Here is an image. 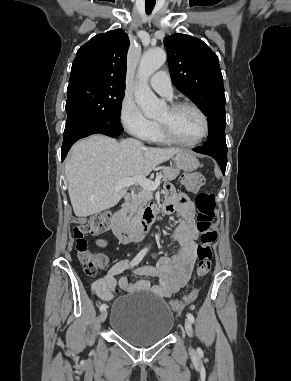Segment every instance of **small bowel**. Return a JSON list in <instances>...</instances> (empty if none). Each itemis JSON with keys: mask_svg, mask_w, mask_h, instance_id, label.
Segmentation results:
<instances>
[{"mask_svg": "<svg viewBox=\"0 0 291 381\" xmlns=\"http://www.w3.org/2000/svg\"><path fill=\"white\" fill-rule=\"evenodd\" d=\"M164 211L168 214L176 213L182 219L173 233L174 239L179 244L178 251L171 257H161L156 265H145L134 269L136 275L155 278L158 283L152 286L147 279L130 283L126 276L117 281V276L131 268L128 260H120L91 285L92 292L101 300H111L117 285L127 292L147 291L160 297H169L187 284L197 256L194 206L187 200L178 202L174 190L169 188ZM97 243L102 245L104 241L99 239Z\"/></svg>", "mask_w": 291, "mask_h": 381, "instance_id": "1", "label": "small bowel"}]
</instances>
